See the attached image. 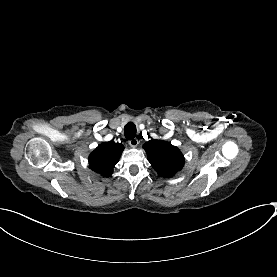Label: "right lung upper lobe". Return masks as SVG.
<instances>
[{
  "instance_id": "obj_1",
  "label": "right lung upper lobe",
  "mask_w": 277,
  "mask_h": 277,
  "mask_svg": "<svg viewBox=\"0 0 277 277\" xmlns=\"http://www.w3.org/2000/svg\"><path fill=\"white\" fill-rule=\"evenodd\" d=\"M124 150L120 143L104 142L89 156L90 168L104 177L110 176Z\"/></svg>"
}]
</instances>
